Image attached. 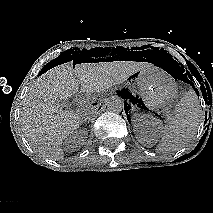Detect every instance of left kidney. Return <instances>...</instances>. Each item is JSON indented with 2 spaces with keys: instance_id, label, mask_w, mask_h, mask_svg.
Instances as JSON below:
<instances>
[{
  "instance_id": "5707ae66",
  "label": "left kidney",
  "mask_w": 213,
  "mask_h": 213,
  "mask_svg": "<svg viewBox=\"0 0 213 213\" xmlns=\"http://www.w3.org/2000/svg\"><path fill=\"white\" fill-rule=\"evenodd\" d=\"M134 131L143 143L152 142V137L160 132V122L150 115L137 114L133 117Z\"/></svg>"
}]
</instances>
